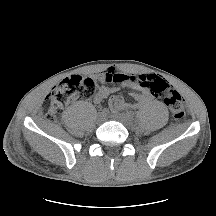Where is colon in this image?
Listing matches in <instances>:
<instances>
[{
	"label": "colon",
	"instance_id": "5ec220e1",
	"mask_svg": "<svg viewBox=\"0 0 216 216\" xmlns=\"http://www.w3.org/2000/svg\"><path fill=\"white\" fill-rule=\"evenodd\" d=\"M146 85L156 97L164 101L178 122L182 123L185 120L184 100L178 91L164 80L149 81ZM99 89L98 83L89 77L80 75L66 77L48 96V116L54 118L78 99L95 98Z\"/></svg>",
	"mask_w": 216,
	"mask_h": 216
}]
</instances>
